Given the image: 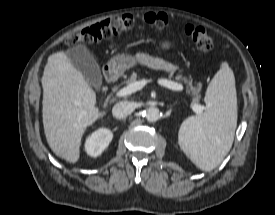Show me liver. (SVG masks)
I'll list each match as a JSON object with an SVG mask.
<instances>
[{
    "label": "liver",
    "instance_id": "liver-1",
    "mask_svg": "<svg viewBox=\"0 0 275 215\" xmlns=\"http://www.w3.org/2000/svg\"><path fill=\"white\" fill-rule=\"evenodd\" d=\"M41 81L46 140L56 156L76 163L86 128L105 112L95 107V92L63 51L49 56Z\"/></svg>",
    "mask_w": 275,
    "mask_h": 215
}]
</instances>
